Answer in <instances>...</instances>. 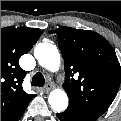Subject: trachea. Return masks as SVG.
Masks as SVG:
<instances>
[{
	"mask_svg": "<svg viewBox=\"0 0 121 121\" xmlns=\"http://www.w3.org/2000/svg\"><path fill=\"white\" fill-rule=\"evenodd\" d=\"M45 84V79L44 76L42 75V73L38 72L36 73L33 78H32V86H38V87H42Z\"/></svg>",
	"mask_w": 121,
	"mask_h": 121,
	"instance_id": "trachea-1",
	"label": "trachea"
}]
</instances>
